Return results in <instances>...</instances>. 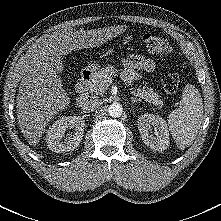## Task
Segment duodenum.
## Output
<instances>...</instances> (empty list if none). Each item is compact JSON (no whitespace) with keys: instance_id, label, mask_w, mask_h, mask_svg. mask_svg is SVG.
I'll return each mask as SVG.
<instances>
[{"instance_id":"1","label":"duodenum","mask_w":221,"mask_h":221,"mask_svg":"<svg viewBox=\"0 0 221 221\" xmlns=\"http://www.w3.org/2000/svg\"><path fill=\"white\" fill-rule=\"evenodd\" d=\"M91 79V73L88 70H83L77 80L76 90H77V98H76V107L82 108L85 103L88 101V84Z\"/></svg>"}]
</instances>
